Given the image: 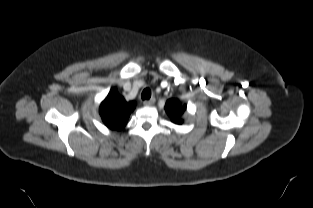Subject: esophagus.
<instances>
[{
    "mask_svg": "<svg viewBox=\"0 0 313 208\" xmlns=\"http://www.w3.org/2000/svg\"><path fill=\"white\" fill-rule=\"evenodd\" d=\"M154 103H155V98H151V99L145 100V101L143 102V104H144L145 106H152Z\"/></svg>",
    "mask_w": 313,
    "mask_h": 208,
    "instance_id": "34e87169",
    "label": "esophagus"
}]
</instances>
